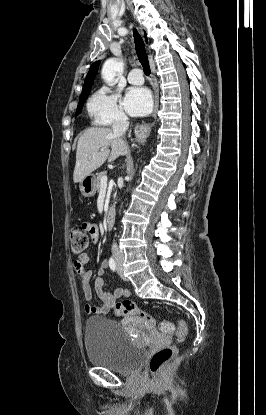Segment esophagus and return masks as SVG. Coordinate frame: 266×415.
Listing matches in <instances>:
<instances>
[{
    "instance_id": "34e87169",
    "label": "esophagus",
    "mask_w": 266,
    "mask_h": 415,
    "mask_svg": "<svg viewBox=\"0 0 266 415\" xmlns=\"http://www.w3.org/2000/svg\"><path fill=\"white\" fill-rule=\"evenodd\" d=\"M158 105H159V90L158 88H155L153 117L156 116ZM150 132H151V127L149 125L137 126L135 129L136 140L142 142L149 136Z\"/></svg>"
}]
</instances>
